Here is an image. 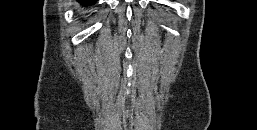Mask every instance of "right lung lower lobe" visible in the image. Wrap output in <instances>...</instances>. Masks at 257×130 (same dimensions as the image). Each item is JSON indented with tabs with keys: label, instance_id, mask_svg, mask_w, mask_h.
<instances>
[{
	"label": "right lung lower lobe",
	"instance_id": "obj_1",
	"mask_svg": "<svg viewBox=\"0 0 257 130\" xmlns=\"http://www.w3.org/2000/svg\"><path fill=\"white\" fill-rule=\"evenodd\" d=\"M82 5H89L93 4L95 1L94 0H78Z\"/></svg>",
	"mask_w": 257,
	"mask_h": 130
}]
</instances>
